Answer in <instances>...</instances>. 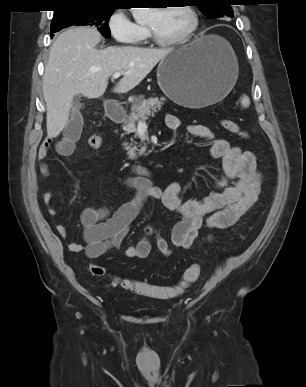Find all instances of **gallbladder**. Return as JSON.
Masks as SVG:
<instances>
[{"label":"gallbladder","instance_id":"1","mask_svg":"<svg viewBox=\"0 0 306 387\" xmlns=\"http://www.w3.org/2000/svg\"><path fill=\"white\" fill-rule=\"evenodd\" d=\"M80 98L81 96L80 95H76L73 99V106L74 107H79V104H80Z\"/></svg>","mask_w":306,"mask_h":387}]
</instances>
